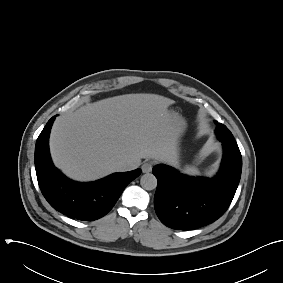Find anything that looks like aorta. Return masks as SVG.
<instances>
[{"label": "aorta", "instance_id": "1", "mask_svg": "<svg viewBox=\"0 0 283 283\" xmlns=\"http://www.w3.org/2000/svg\"><path fill=\"white\" fill-rule=\"evenodd\" d=\"M140 184L145 190H153L157 187V179L153 174L146 173L141 177Z\"/></svg>", "mask_w": 283, "mask_h": 283}]
</instances>
